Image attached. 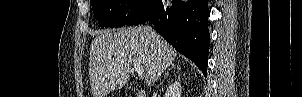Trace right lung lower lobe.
Listing matches in <instances>:
<instances>
[{
	"label": "right lung lower lobe",
	"mask_w": 302,
	"mask_h": 97,
	"mask_svg": "<svg viewBox=\"0 0 302 97\" xmlns=\"http://www.w3.org/2000/svg\"><path fill=\"white\" fill-rule=\"evenodd\" d=\"M208 0H149L127 25L149 21L206 76L209 53Z\"/></svg>",
	"instance_id": "1"
}]
</instances>
